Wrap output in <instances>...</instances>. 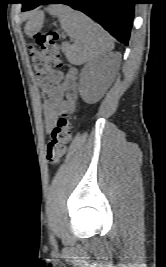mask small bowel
Returning <instances> with one entry per match:
<instances>
[{"label":"small bowel","instance_id":"c3829d8e","mask_svg":"<svg viewBox=\"0 0 166 267\" xmlns=\"http://www.w3.org/2000/svg\"><path fill=\"white\" fill-rule=\"evenodd\" d=\"M74 84V74L66 76L46 100L44 104V119L47 130H50L55 125L59 113L70 107L69 103L64 100V95Z\"/></svg>","mask_w":166,"mask_h":267}]
</instances>
